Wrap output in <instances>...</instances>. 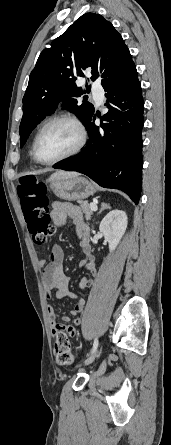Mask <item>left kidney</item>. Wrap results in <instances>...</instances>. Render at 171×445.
<instances>
[{"label":"left kidney","mask_w":171,"mask_h":445,"mask_svg":"<svg viewBox=\"0 0 171 445\" xmlns=\"http://www.w3.org/2000/svg\"><path fill=\"white\" fill-rule=\"evenodd\" d=\"M127 215L122 210L110 211L101 221L99 230L109 243V250L116 249L127 228Z\"/></svg>","instance_id":"obj_1"}]
</instances>
